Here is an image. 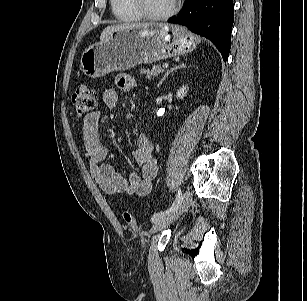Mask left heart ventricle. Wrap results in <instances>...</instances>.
Here are the masks:
<instances>
[{"instance_id": "left-heart-ventricle-1", "label": "left heart ventricle", "mask_w": 307, "mask_h": 301, "mask_svg": "<svg viewBox=\"0 0 307 301\" xmlns=\"http://www.w3.org/2000/svg\"><path fill=\"white\" fill-rule=\"evenodd\" d=\"M174 0H144L146 9L154 14H160L168 11Z\"/></svg>"}]
</instances>
